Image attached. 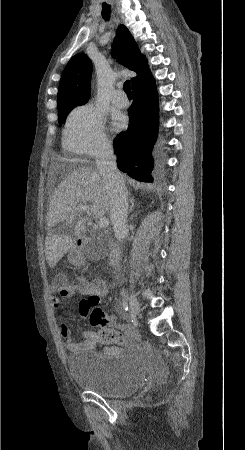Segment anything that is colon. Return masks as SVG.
Masks as SVG:
<instances>
[{
	"instance_id": "obj_1",
	"label": "colon",
	"mask_w": 245,
	"mask_h": 450,
	"mask_svg": "<svg viewBox=\"0 0 245 450\" xmlns=\"http://www.w3.org/2000/svg\"><path fill=\"white\" fill-rule=\"evenodd\" d=\"M77 291L90 294L89 303L85 307L88 312L90 323L93 327L100 328L93 333V337L102 344H122L125 342L124 336L117 332L114 327L118 324L114 316L107 314L98 306V300L93 297L94 285L87 275H79L70 280ZM122 329L127 333H132L129 325H121Z\"/></svg>"
}]
</instances>
